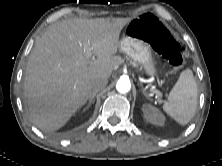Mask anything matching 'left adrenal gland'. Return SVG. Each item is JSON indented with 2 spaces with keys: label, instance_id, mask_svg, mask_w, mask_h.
<instances>
[{
  "label": "left adrenal gland",
  "instance_id": "1",
  "mask_svg": "<svg viewBox=\"0 0 222 166\" xmlns=\"http://www.w3.org/2000/svg\"><path fill=\"white\" fill-rule=\"evenodd\" d=\"M140 86L142 87V85H140ZM142 92L146 97H148V95L143 90H142Z\"/></svg>",
  "mask_w": 222,
  "mask_h": 166
}]
</instances>
